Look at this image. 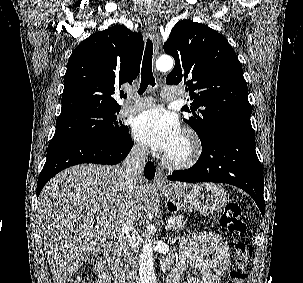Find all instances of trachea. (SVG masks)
<instances>
[{
    "mask_svg": "<svg viewBox=\"0 0 303 283\" xmlns=\"http://www.w3.org/2000/svg\"><path fill=\"white\" fill-rule=\"evenodd\" d=\"M152 57H153V43L150 39L147 40L146 48L143 56V63L141 69V84L138 94L145 92L148 85L155 86V78L152 72Z\"/></svg>",
    "mask_w": 303,
    "mask_h": 283,
    "instance_id": "3493384b",
    "label": "trachea"
}]
</instances>
